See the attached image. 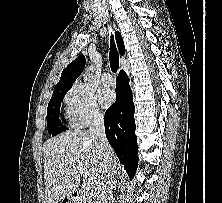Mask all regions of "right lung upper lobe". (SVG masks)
<instances>
[{"label":"right lung upper lobe","instance_id":"obj_1","mask_svg":"<svg viewBox=\"0 0 222 203\" xmlns=\"http://www.w3.org/2000/svg\"><path fill=\"white\" fill-rule=\"evenodd\" d=\"M116 40L118 49L121 55L125 52V47L123 43V39L120 33H116ZM85 67V57L84 55L78 56L73 62H71L62 72L60 81L54 87V91L67 90L72 87V84L79 77L81 72Z\"/></svg>","mask_w":222,"mask_h":203}]
</instances>
